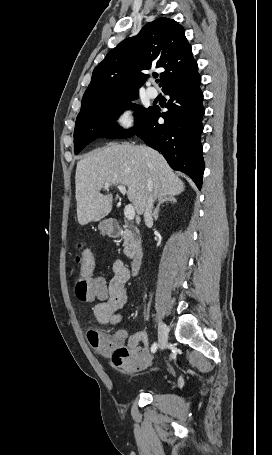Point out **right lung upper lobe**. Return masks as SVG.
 <instances>
[{
	"label": "right lung upper lobe",
	"mask_w": 272,
	"mask_h": 455,
	"mask_svg": "<svg viewBox=\"0 0 272 455\" xmlns=\"http://www.w3.org/2000/svg\"><path fill=\"white\" fill-rule=\"evenodd\" d=\"M152 67L165 69L160 74L162 90L197 70L184 29L172 19L158 18L147 23L137 36L125 39L108 52L93 71L80 113L138 94L148 78L141 71Z\"/></svg>",
	"instance_id": "cb5924a9"
}]
</instances>
